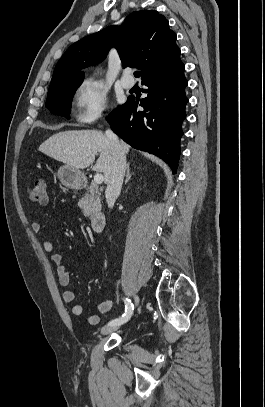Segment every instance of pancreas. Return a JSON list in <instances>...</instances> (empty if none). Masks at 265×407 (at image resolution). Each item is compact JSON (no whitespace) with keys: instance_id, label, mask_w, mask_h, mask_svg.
<instances>
[{"instance_id":"pancreas-1","label":"pancreas","mask_w":265,"mask_h":407,"mask_svg":"<svg viewBox=\"0 0 265 407\" xmlns=\"http://www.w3.org/2000/svg\"><path fill=\"white\" fill-rule=\"evenodd\" d=\"M78 206L82 209L85 216H89L94 209L101 208V200L99 198L98 187L92 183L88 188V193L79 201Z\"/></svg>"}]
</instances>
